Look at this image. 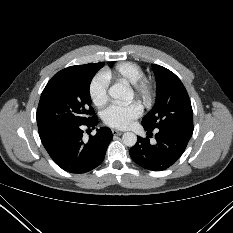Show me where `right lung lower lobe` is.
Segmentation results:
<instances>
[{"instance_id": "right-lung-lower-lobe-1", "label": "right lung lower lobe", "mask_w": 233, "mask_h": 233, "mask_svg": "<svg viewBox=\"0 0 233 233\" xmlns=\"http://www.w3.org/2000/svg\"><path fill=\"white\" fill-rule=\"evenodd\" d=\"M97 117L82 125H59L39 131L40 139L53 161L71 173H86L99 166L112 140V132L104 127L89 141H83L82 127L96 126Z\"/></svg>"}]
</instances>
